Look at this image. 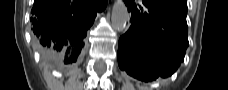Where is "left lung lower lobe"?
Wrapping results in <instances>:
<instances>
[{
    "mask_svg": "<svg viewBox=\"0 0 228 90\" xmlns=\"http://www.w3.org/2000/svg\"><path fill=\"white\" fill-rule=\"evenodd\" d=\"M131 27L120 37L121 70L142 81L172 75L188 43L187 0H124Z\"/></svg>",
    "mask_w": 228,
    "mask_h": 90,
    "instance_id": "0a47b994",
    "label": "left lung lower lobe"
}]
</instances>
